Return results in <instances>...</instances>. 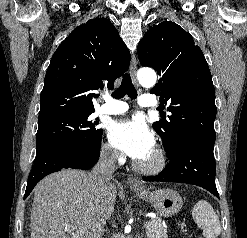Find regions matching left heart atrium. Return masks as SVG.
<instances>
[{"label": "left heart atrium", "mask_w": 247, "mask_h": 238, "mask_svg": "<svg viewBox=\"0 0 247 238\" xmlns=\"http://www.w3.org/2000/svg\"><path fill=\"white\" fill-rule=\"evenodd\" d=\"M108 137L115 148L138 160L152 153L155 144L153 134L138 118L114 122Z\"/></svg>", "instance_id": "1"}]
</instances>
